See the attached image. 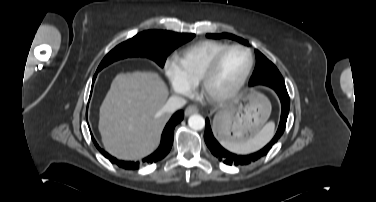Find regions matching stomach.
I'll list each match as a JSON object with an SVG mask.
<instances>
[{
    "mask_svg": "<svg viewBox=\"0 0 376 202\" xmlns=\"http://www.w3.org/2000/svg\"><path fill=\"white\" fill-rule=\"evenodd\" d=\"M270 113L271 105L264 95H239L215 116V134L223 142L247 141L261 130Z\"/></svg>",
    "mask_w": 376,
    "mask_h": 202,
    "instance_id": "stomach-1",
    "label": "stomach"
}]
</instances>
